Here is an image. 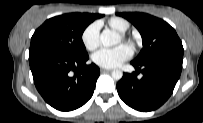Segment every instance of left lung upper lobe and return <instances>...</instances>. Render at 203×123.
Instances as JSON below:
<instances>
[{"label":"left lung upper lobe","instance_id":"obj_1","mask_svg":"<svg viewBox=\"0 0 203 123\" xmlns=\"http://www.w3.org/2000/svg\"><path fill=\"white\" fill-rule=\"evenodd\" d=\"M130 21L140 32L143 49L133 60L143 63L148 60L180 56L183 57V46L176 31L167 22L145 13H119Z\"/></svg>","mask_w":203,"mask_h":123}]
</instances>
